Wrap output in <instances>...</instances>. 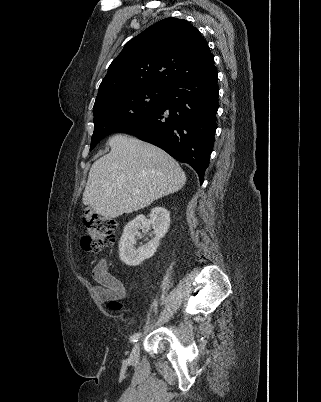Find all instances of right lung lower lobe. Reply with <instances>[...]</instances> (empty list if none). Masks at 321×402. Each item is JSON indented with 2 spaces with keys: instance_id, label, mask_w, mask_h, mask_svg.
Instances as JSON below:
<instances>
[{
  "instance_id": "98d812e1",
  "label": "right lung lower lobe",
  "mask_w": 321,
  "mask_h": 402,
  "mask_svg": "<svg viewBox=\"0 0 321 402\" xmlns=\"http://www.w3.org/2000/svg\"><path fill=\"white\" fill-rule=\"evenodd\" d=\"M218 93L212 63L169 84L158 109L116 132L134 135L190 164L202 184L214 146Z\"/></svg>"
}]
</instances>
